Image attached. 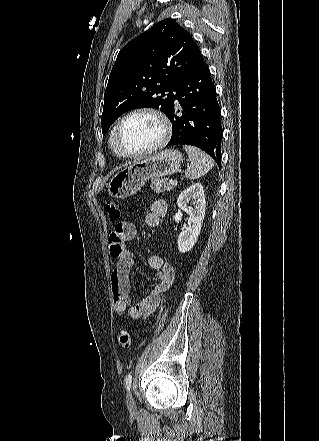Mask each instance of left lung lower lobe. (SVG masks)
Listing matches in <instances>:
<instances>
[{"label": "left lung lower lobe", "mask_w": 319, "mask_h": 441, "mask_svg": "<svg viewBox=\"0 0 319 441\" xmlns=\"http://www.w3.org/2000/svg\"><path fill=\"white\" fill-rule=\"evenodd\" d=\"M169 115L172 137L167 146L193 145L207 152L220 167L221 126L220 107L209 68L202 56L178 84ZM182 107V115H178Z\"/></svg>", "instance_id": "1"}]
</instances>
